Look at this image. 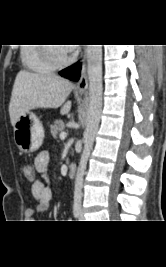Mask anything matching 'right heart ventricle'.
Returning a JSON list of instances; mask_svg holds the SVG:
<instances>
[{"instance_id": "1", "label": "right heart ventricle", "mask_w": 166, "mask_h": 267, "mask_svg": "<svg viewBox=\"0 0 166 267\" xmlns=\"http://www.w3.org/2000/svg\"><path fill=\"white\" fill-rule=\"evenodd\" d=\"M28 44L21 47L20 58L23 66L31 71L47 73L55 69L45 58L42 46Z\"/></svg>"}]
</instances>
